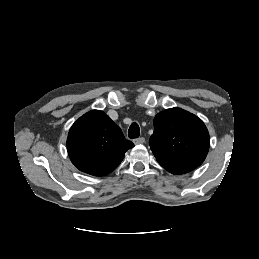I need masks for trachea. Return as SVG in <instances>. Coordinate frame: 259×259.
I'll return each mask as SVG.
<instances>
[{
  "label": "trachea",
  "instance_id": "3493384b",
  "mask_svg": "<svg viewBox=\"0 0 259 259\" xmlns=\"http://www.w3.org/2000/svg\"><path fill=\"white\" fill-rule=\"evenodd\" d=\"M140 135V128L137 123H132L128 130L129 138H138Z\"/></svg>",
  "mask_w": 259,
  "mask_h": 259
}]
</instances>
